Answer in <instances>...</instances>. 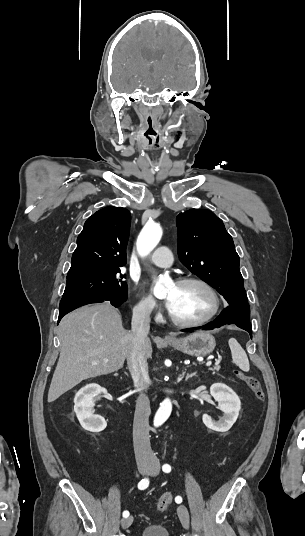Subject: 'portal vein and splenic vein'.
<instances>
[{
  "label": "portal vein and splenic vein",
  "instance_id": "1",
  "mask_svg": "<svg viewBox=\"0 0 305 536\" xmlns=\"http://www.w3.org/2000/svg\"><path fill=\"white\" fill-rule=\"evenodd\" d=\"M212 362H207L206 366H211Z\"/></svg>",
  "mask_w": 305,
  "mask_h": 536
}]
</instances>
